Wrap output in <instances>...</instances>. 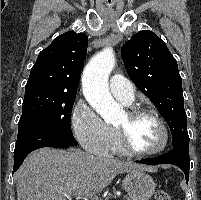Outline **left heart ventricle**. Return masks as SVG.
Segmentation results:
<instances>
[{"instance_id": "obj_1", "label": "left heart ventricle", "mask_w": 201, "mask_h": 200, "mask_svg": "<svg viewBox=\"0 0 201 200\" xmlns=\"http://www.w3.org/2000/svg\"><path fill=\"white\" fill-rule=\"evenodd\" d=\"M116 126L127 129L129 140L137 150H152L162 143V131L157 122L150 117L144 116L131 122L126 113Z\"/></svg>"}]
</instances>
